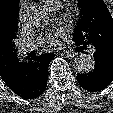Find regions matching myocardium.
Masks as SVG:
<instances>
[{
	"label": "myocardium",
	"mask_w": 113,
	"mask_h": 113,
	"mask_svg": "<svg viewBox=\"0 0 113 113\" xmlns=\"http://www.w3.org/2000/svg\"><path fill=\"white\" fill-rule=\"evenodd\" d=\"M66 11L69 16H73L76 12V5L74 3V0H66Z\"/></svg>",
	"instance_id": "obj_1"
}]
</instances>
